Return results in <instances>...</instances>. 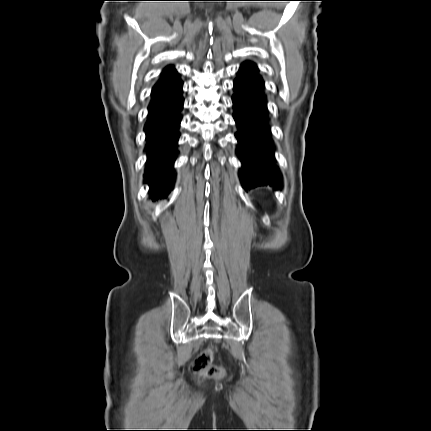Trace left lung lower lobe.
<instances>
[{
	"mask_svg": "<svg viewBox=\"0 0 431 431\" xmlns=\"http://www.w3.org/2000/svg\"><path fill=\"white\" fill-rule=\"evenodd\" d=\"M233 87V117L238 142L236 152L242 163L239 176L243 188L248 190L269 185L280 189L282 178L275 163V146L270 137L264 83L254 63L241 65Z\"/></svg>",
	"mask_w": 431,
	"mask_h": 431,
	"instance_id": "obj_1",
	"label": "left lung lower lobe"
}]
</instances>
